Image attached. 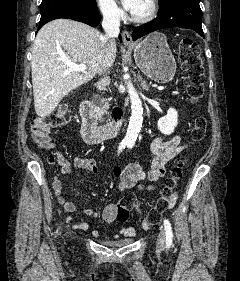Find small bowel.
Segmentation results:
<instances>
[{
  "instance_id": "obj_1",
  "label": "small bowel",
  "mask_w": 240,
  "mask_h": 281,
  "mask_svg": "<svg viewBox=\"0 0 240 281\" xmlns=\"http://www.w3.org/2000/svg\"><path fill=\"white\" fill-rule=\"evenodd\" d=\"M190 147V144L183 143L182 137L176 135L169 140H165L162 136L155 137L150 143V152L153 156L151 166L148 170L142 168L137 163L128 164L125 167H115L113 169L114 174L120 178L118 189L120 192H126L129 190L134 191H151L154 189L153 182L163 177L166 173L167 164L181 151ZM58 164L61 169V173L65 176H69L72 171V167L77 169L86 170L91 173H98L99 167L96 161L92 158H86L81 155L76 156L73 161H69L64 156L59 155ZM144 181L150 184H143ZM54 194L58 203L68 212H74L76 206L67 201L62 193V182L59 179H55L52 182ZM177 194L173 193L168 208H172L177 201ZM83 213L88 217L96 218L98 213L92 209H84ZM102 218L107 224H112L117 219V203H110L105 206L102 211ZM67 220H71L70 217ZM74 229L87 231L89 228L88 223L80 222L73 226ZM120 235H132L134 234L133 228H121L119 230ZM93 236H98V232L94 230Z\"/></svg>"
}]
</instances>
